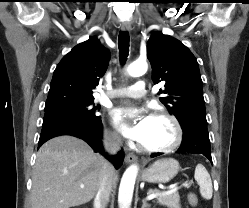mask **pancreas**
Masks as SVG:
<instances>
[{"instance_id":"1","label":"pancreas","mask_w":249,"mask_h":208,"mask_svg":"<svg viewBox=\"0 0 249 208\" xmlns=\"http://www.w3.org/2000/svg\"><path fill=\"white\" fill-rule=\"evenodd\" d=\"M149 194L161 193L158 189H149ZM157 201L161 205H165L169 208H181L180 207V196L178 193L165 194L157 197Z\"/></svg>"}]
</instances>
